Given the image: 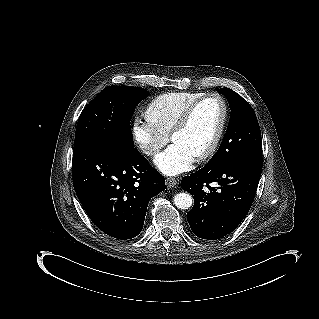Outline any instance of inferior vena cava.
I'll list each match as a JSON object with an SVG mask.
<instances>
[{
    "label": "inferior vena cava",
    "instance_id": "602c4592",
    "mask_svg": "<svg viewBox=\"0 0 319 319\" xmlns=\"http://www.w3.org/2000/svg\"><path fill=\"white\" fill-rule=\"evenodd\" d=\"M158 151V149L156 147H154L153 145H144L143 146V152L146 155H153L154 153H156Z\"/></svg>",
    "mask_w": 319,
    "mask_h": 319
}]
</instances>
